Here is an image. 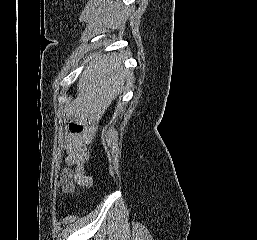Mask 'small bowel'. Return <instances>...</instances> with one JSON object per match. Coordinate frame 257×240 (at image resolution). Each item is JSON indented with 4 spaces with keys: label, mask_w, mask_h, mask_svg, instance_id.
Returning a JSON list of instances; mask_svg holds the SVG:
<instances>
[{
    "label": "small bowel",
    "mask_w": 257,
    "mask_h": 240,
    "mask_svg": "<svg viewBox=\"0 0 257 240\" xmlns=\"http://www.w3.org/2000/svg\"><path fill=\"white\" fill-rule=\"evenodd\" d=\"M93 133L91 130L82 133H69L65 140V162L67 165L75 166L72 170L65 167L61 170L59 185L68 192L73 189L74 183H81L84 180L83 163L88 161L92 153L86 146L92 141Z\"/></svg>",
    "instance_id": "1"
}]
</instances>
